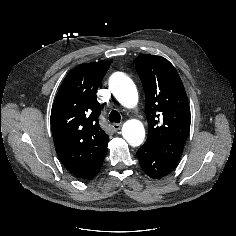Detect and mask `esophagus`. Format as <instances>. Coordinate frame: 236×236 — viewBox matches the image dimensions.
I'll return each instance as SVG.
<instances>
[{
	"mask_svg": "<svg viewBox=\"0 0 236 236\" xmlns=\"http://www.w3.org/2000/svg\"><path fill=\"white\" fill-rule=\"evenodd\" d=\"M111 127L114 131H118V130H120L121 125L118 124V123H114V124L111 125Z\"/></svg>",
	"mask_w": 236,
	"mask_h": 236,
	"instance_id": "obj_1",
	"label": "esophagus"
}]
</instances>
